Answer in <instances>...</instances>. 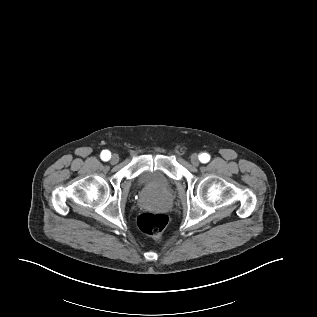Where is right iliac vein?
<instances>
[{"label": "right iliac vein", "mask_w": 317, "mask_h": 317, "mask_svg": "<svg viewBox=\"0 0 317 317\" xmlns=\"http://www.w3.org/2000/svg\"><path fill=\"white\" fill-rule=\"evenodd\" d=\"M118 161H119V156L116 155V154L112 155V157L110 159V163L111 164H116V163H118Z\"/></svg>", "instance_id": "63e3f726"}]
</instances>
